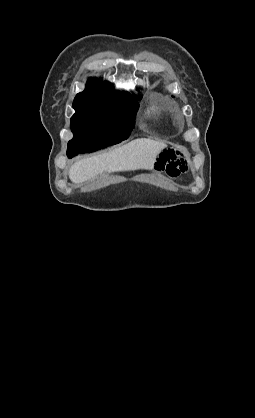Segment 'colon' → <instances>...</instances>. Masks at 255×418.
I'll return each mask as SVG.
<instances>
[{
    "label": "colon",
    "instance_id": "5ec220e1",
    "mask_svg": "<svg viewBox=\"0 0 255 418\" xmlns=\"http://www.w3.org/2000/svg\"><path fill=\"white\" fill-rule=\"evenodd\" d=\"M156 169L165 172L170 177H177L187 170V163L182 158L180 151L167 149L157 159Z\"/></svg>",
    "mask_w": 255,
    "mask_h": 418
}]
</instances>
